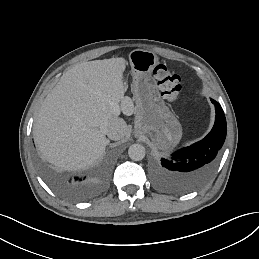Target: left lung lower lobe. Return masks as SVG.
<instances>
[{
  "instance_id": "obj_1",
  "label": "left lung lower lobe",
  "mask_w": 259,
  "mask_h": 259,
  "mask_svg": "<svg viewBox=\"0 0 259 259\" xmlns=\"http://www.w3.org/2000/svg\"><path fill=\"white\" fill-rule=\"evenodd\" d=\"M215 123L201 141L174 152L170 158H161L153 167L156 182L171 191L190 189L208 178L215 170L220 150L226 138V118L215 100Z\"/></svg>"
}]
</instances>
